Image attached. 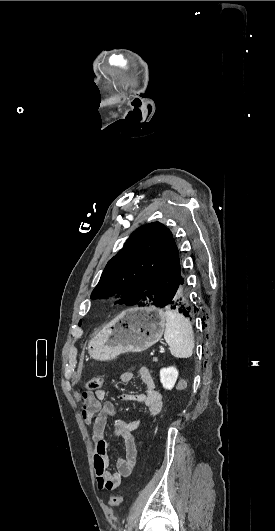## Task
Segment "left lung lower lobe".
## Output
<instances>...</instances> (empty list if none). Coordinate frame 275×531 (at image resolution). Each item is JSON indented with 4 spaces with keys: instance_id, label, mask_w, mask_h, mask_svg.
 I'll return each mask as SVG.
<instances>
[{
    "instance_id": "left-lung-lower-lobe-1",
    "label": "left lung lower lobe",
    "mask_w": 275,
    "mask_h": 531,
    "mask_svg": "<svg viewBox=\"0 0 275 531\" xmlns=\"http://www.w3.org/2000/svg\"><path fill=\"white\" fill-rule=\"evenodd\" d=\"M165 306L182 313L185 317L190 318V320L192 319L194 310H196V308L193 307L191 303L189 291L187 289L186 283L184 282V278L181 279L176 292Z\"/></svg>"
}]
</instances>
